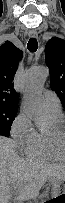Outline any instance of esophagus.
Returning a JSON list of instances; mask_svg holds the SVG:
<instances>
[{
	"label": "esophagus",
	"instance_id": "34e87169",
	"mask_svg": "<svg viewBox=\"0 0 65 203\" xmlns=\"http://www.w3.org/2000/svg\"><path fill=\"white\" fill-rule=\"evenodd\" d=\"M30 37L31 38H37V33L35 31L30 32Z\"/></svg>",
	"mask_w": 65,
	"mask_h": 203
}]
</instances>
